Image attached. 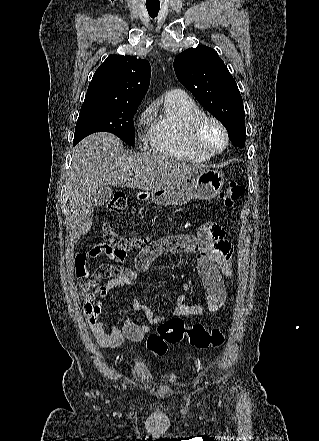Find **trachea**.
<instances>
[{
	"mask_svg": "<svg viewBox=\"0 0 319 441\" xmlns=\"http://www.w3.org/2000/svg\"><path fill=\"white\" fill-rule=\"evenodd\" d=\"M146 8L149 13V16L151 18H155L158 15L160 5L159 6L158 5H152V6L148 5V6H146Z\"/></svg>",
	"mask_w": 319,
	"mask_h": 441,
	"instance_id": "3493384b",
	"label": "trachea"
}]
</instances>
